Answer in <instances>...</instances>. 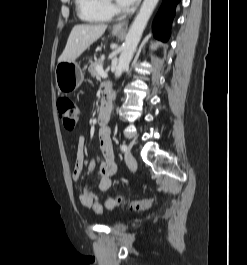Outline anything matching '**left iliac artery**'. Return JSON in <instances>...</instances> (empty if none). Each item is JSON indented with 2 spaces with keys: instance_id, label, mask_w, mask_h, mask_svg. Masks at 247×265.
Segmentation results:
<instances>
[{
  "instance_id": "obj_1",
  "label": "left iliac artery",
  "mask_w": 247,
  "mask_h": 265,
  "mask_svg": "<svg viewBox=\"0 0 247 265\" xmlns=\"http://www.w3.org/2000/svg\"><path fill=\"white\" fill-rule=\"evenodd\" d=\"M120 149H121L122 151H127V150H128V147H127V145L122 144V145L120 146Z\"/></svg>"
}]
</instances>
